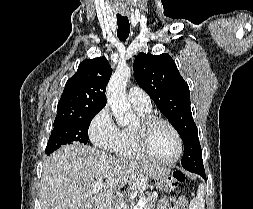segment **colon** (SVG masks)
<instances>
[{"label": "colon", "instance_id": "colon-1", "mask_svg": "<svg viewBox=\"0 0 253 209\" xmlns=\"http://www.w3.org/2000/svg\"><path fill=\"white\" fill-rule=\"evenodd\" d=\"M184 179V175L182 173H175L172 176L168 177V182L166 183L167 188H173L177 186ZM176 209H188V200L186 196H181L177 203Z\"/></svg>", "mask_w": 253, "mask_h": 209}]
</instances>
